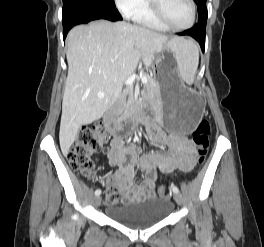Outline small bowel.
<instances>
[{"mask_svg":"<svg viewBox=\"0 0 264 247\" xmlns=\"http://www.w3.org/2000/svg\"><path fill=\"white\" fill-rule=\"evenodd\" d=\"M161 122L160 117L150 121L147 133L152 144L158 149H166L167 154L154 152L139 156L134 147L124 145L121 137L112 141L108 160L110 165L116 167V173L108 180L118 186L125 202L154 198L157 171L164 174L176 169L190 172L195 166L193 142L180 133L165 132ZM136 167L146 171L145 179L139 185L134 184Z\"/></svg>","mask_w":264,"mask_h":247,"instance_id":"obj_1","label":"small bowel"}]
</instances>
